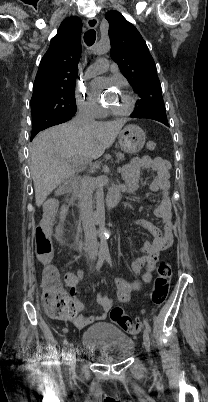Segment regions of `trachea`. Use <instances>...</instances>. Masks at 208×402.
<instances>
[{
	"mask_svg": "<svg viewBox=\"0 0 208 402\" xmlns=\"http://www.w3.org/2000/svg\"><path fill=\"white\" fill-rule=\"evenodd\" d=\"M96 40V32L95 30H88L84 35V42L88 47H91L95 43Z\"/></svg>",
	"mask_w": 208,
	"mask_h": 402,
	"instance_id": "3493384b",
	"label": "trachea"
}]
</instances>
